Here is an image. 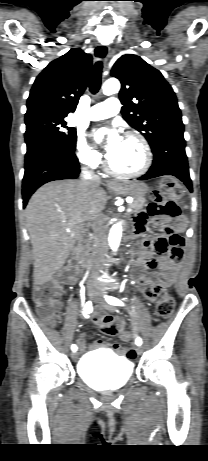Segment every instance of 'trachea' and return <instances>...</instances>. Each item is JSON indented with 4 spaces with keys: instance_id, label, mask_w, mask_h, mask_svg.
Segmentation results:
<instances>
[{
    "instance_id": "obj_1",
    "label": "trachea",
    "mask_w": 208,
    "mask_h": 461,
    "mask_svg": "<svg viewBox=\"0 0 208 461\" xmlns=\"http://www.w3.org/2000/svg\"><path fill=\"white\" fill-rule=\"evenodd\" d=\"M97 55L99 56L98 50H97ZM101 73H102V62L98 61L94 66L91 80H90V92L92 94H96L100 89Z\"/></svg>"
}]
</instances>
